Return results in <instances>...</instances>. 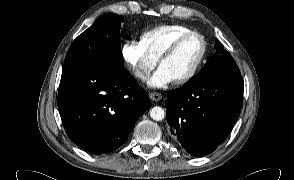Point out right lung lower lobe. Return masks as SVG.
Returning a JSON list of instances; mask_svg holds the SVG:
<instances>
[{
    "mask_svg": "<svg viewBox=\"0 0 294 180\" xmlns=\"http://www.w3.org/2000/svg\"><path fill=\"white\" fill-rule=\"evenodd\" d=\"M150 105L146 91L126 70L88 66L61 76L58 108L65 131L95 154L125 143Z\"/></svg>",
    "mask_w": 294,
    "mask_h": 180,
    "instance_id": "obj_1",
    "label": "right lung lower lobe"
}]
</instances>
